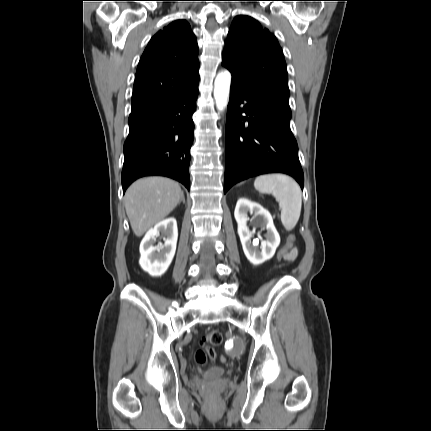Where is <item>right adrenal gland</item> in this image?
Masks as SVG:
<instances>
[{
  "instance_id": "2a0ac1e0",
  "label": "right adrenal gland",
  "mask_w": 431,
  "mask_h": 431,
  "mask_svg": "<svg viewBox=\"0 0 431 431\" xmlns=\"http://www.w3.org/2000/svg\"><path fill=\"white\" fill-rule=\"evenodd\" d=\"M180 201H182L183 202V204H185V197H184V194H182V196H181V200Z\"/></svg>"
}]
</instances>
